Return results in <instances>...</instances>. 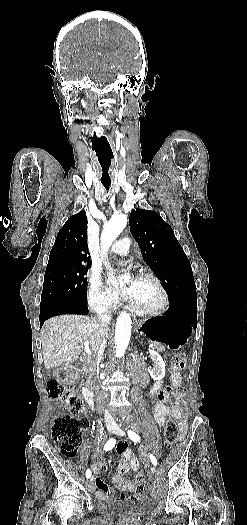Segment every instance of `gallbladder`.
I'll list each match as a JSON object with an SVG mask.
<instances>
[{"label": "gallbladder", "instance_id": "gallbladder-1", "mask_svg": "<svg viewBox=\"0 0 247 525\" xmlns=\"http://www.w3.org/2000/svg\"><path fill=\"white\" fill-rule=\"evenodd\" d=\"M56 375H58V369H53V367L48 366L45 369L43 377L45 380L50 381L53 379V377H56Z\"/></svg>", "mask_w": 247, "mask_h": 525}]
</instances>
